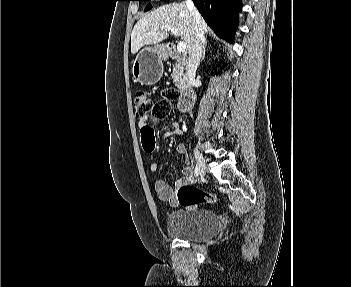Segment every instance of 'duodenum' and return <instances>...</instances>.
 <instances>
[{
    "mask_svg": "<svg viewBox=\"0 0 351 287\" xmlns=\"http://www.w3.org/2000/svg\"><path fill=\"white\" fill-rule=\"evenodd\" d=\"M163 55L165 57H175L177 55L176 52V46L172 43L167 45L164 50L162 51ZM195 98V90L193 89L192 85H189V87H187L183 93H182V97L178 102V110L181 112H186L191 108V105L194 101Z\"/></svg>",
    "mask_w": 351,
    "mask_h": 287,
    "instance_id": "duodenum-1",
    "label": "duodenum"
}]
</instances>
